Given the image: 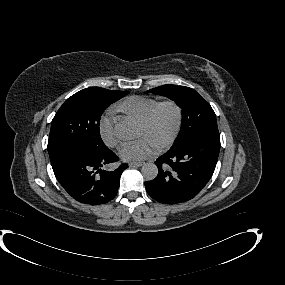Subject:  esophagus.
Here are the masks:
<instances>
[{"label": "esophagus", "mask_w": 285, "mask_h": 285, "mask_svg": "<svg viewBox=\"0 0 285 285\" xmlns=\"http://www.w3.org/2000/svg\"><path fill=\"white\" fill-rule=\"evenodd\" d=\"M142 164H143V162H141V161H132L129 163V166L130 167H140V166H142Z\"/></svg>", "instance_id": "esophagus-1"}]
</instances>
